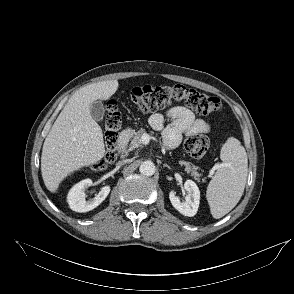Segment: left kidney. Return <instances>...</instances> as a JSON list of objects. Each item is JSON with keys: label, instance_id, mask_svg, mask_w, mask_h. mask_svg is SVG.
I'll list each match as a JSON object with an SVG mask.
<instances>
[{"label": "left kidney", "instance_id": "5707ae66", "mask_svg": "<svg viewBox=\"0 0 294 294\" xmlns=\"http://www.w3.org/2000/svg\"><path fill=\"white\" fill-rule=\"evenodd\" d=\"M184 188L187 191V196L184 202L180 201L174 191L169 193V199L178 212L184 216L193 217L198 211L200 191L196 183L192 180H187L184 183Z\"/></svg>", "mask_w": 294, "mask_h": 294}]
</instances>
